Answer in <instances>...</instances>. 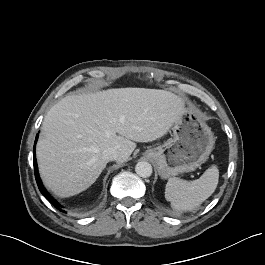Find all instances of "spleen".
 I'll use <instances>...</instances> for the list:
<instances>
[{
    "instance_id": "3e777b00",
    "label": "spleen",
    "mask_w": 265,
    "mask_h": 265,
    "mask_svg": "<svg viewBox=\"0 0 265 265\" xmlns=\"http://www.w3.org/2000/svg\"><path fill=\"white\" fill-rule=\"evenodd\" d=\"M219 179V170L213 165L196 180L186 181L169 178L165 187V198L178 210H193L209 198L215 191Z\"/></svg>"
}]
</instances>
